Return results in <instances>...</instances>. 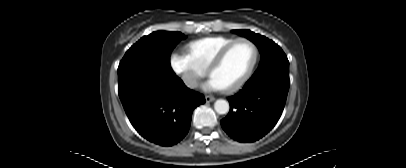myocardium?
<instances>
[{"label":"myocardium","mask_w":406,"mask_h":168,"mask_svg":"<svg viewBox=\"0 0 406 168\" xmlns=\"http://www.w3.org/2000/svg\"><path fill=\"white\" fill-rule=\"evenodd\" d=\"M240 42H247L249 43L252 48H253V58L252 61L250 63V65L248 66V68L246 69V71L244 72V74L233 84L222 88L224 92L227 93H231L234 91H237L238 89H240L246 82L247 80L250 78L256 64L258 61V57H259V49L258 46L256 45L255 42H253L251 39L249 38H245V37H241V38H236L234 39L232 42H230L229 44H227L226 46H224L215 56L214 58L211 60L210 64L207 67V74L209 76L212 75L213 71L218 68L220 66V64L223 62L224 58L226 57L227 53L230 51V49L240 43Z\"/></svg>","instance_id":"obj_1"}]
</instances>
